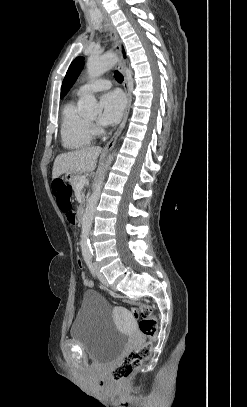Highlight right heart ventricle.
<instances>
[{
    "instance_id": "right-heart-ventricle-1",
    "label": "right heart ventricle",
    "mask_w": 247,
    "mask_h": 407,
    "mask_svg": "<svg viewBox=\"0 0 247 407\" xmlns=\"http://www.w3.org/2000/svg\"><path fill=\"white\" fill-rule=\"evenodd\" d=\"M60 135L64 148L79 150L92 143L94 132L74 100L67 102L61 113Z\"/></svg>"
}]
</instances>
